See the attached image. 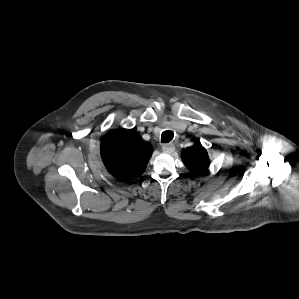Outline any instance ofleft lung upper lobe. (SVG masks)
Wrapping results in <instances>:
<instances>
[{
	"mask_svg": "<svg viewBox=\"0 0 299 299\" xmlns=\"http://www.w3.org/2000/svg\"><path fill=\"white\" fill-rule=\"evenodd\" d=\"M182 160L187 168L194 174L205 172L210 163L208 154L200 143H196L194 146L184 150Z\"/></svg>",
	"mask_w": 299,
	"mask_h": 299,
	"instance_id": "left-lung-upper-lobe-1",
	"label": "left lung upper lobe"
}]
</instances>
